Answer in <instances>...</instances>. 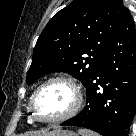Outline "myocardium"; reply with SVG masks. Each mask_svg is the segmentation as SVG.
I'll return each instance as SVG.
<instances>
[{
    "mask_svg": "<svg viewBox=\"0 0 136 136\" xmlns=\"http://www.w3.org/2000/svg\"><path fill=\"white\" fill-rule=\"evenodd\" d=\"M52 83H62L67 87H69L73 93V104L67 112H65L64 114L58 117L49 118V119L40 118L35 113V108H34L36 97L46 86ZM82 103H83V92L81 87L76 83L75 80L66 76H53L45 80L35 89L29 100L28 111L31 118L34 121L40 123H48V124L60 123L74 117L81 109Z\"/></svg>",
    "mask_w": 136,
    "mask_h": 136,
    "instance_id": "obj_1",
    "label": "myocardium"
}]
</instances>
